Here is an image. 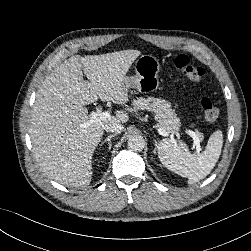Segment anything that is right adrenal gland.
I'll return each mask as SVG.
<instances>
[{"mask_svg":"<svg viewBox=\"0 0 251 251\" xmlns=\"http://www.w3.org/2000/svg\"><path fill=\"white\" fill-rule=\"evenodd\" d=\"M115 136H117V134H112V135H109L106 139H104L103 141H102V143H101V145H104L106 142L108 143V145H109V150L111 149V146H112V144H111V139L113 138V137H115Z\"/></svg>","mask_w":251,"mask_h":251,"instance_id":"right-adrenal-gland-1","label":"right adrenal gland"}]
</instances>
